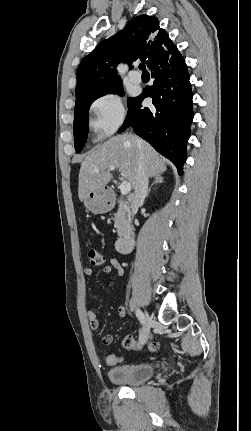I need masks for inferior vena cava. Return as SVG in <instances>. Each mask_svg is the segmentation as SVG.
<instances>
[{
  "label": "inferior vena cava",
  "mask_w": 251,
  "mask_h": 431,
  "mask_svg": "<svg viewBox=\"0 0 251 431\" xmlns=\"http://www.w3.org/2000/svg\"><path fill=\"white\" fill-rule=\"evenodd\" d=\"M148 183V175L144 168L142 156H140L138 161L137 184L134 188V193L131 196V209L133 214H136L139 205L144 202L148 190Z\"/></svg>",
  "instance_id": "1"
}]
</instances>
